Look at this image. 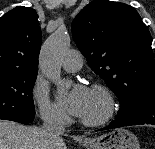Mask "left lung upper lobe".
<instances>
[{"mask_svg":"<svg viewBox=\"0 0 155 149\" xmlns=\"http://www.w3.org/2000/svg\"><path fill=\"white\" fill-rule=\"evenodd\" d=\"M72 34L91 69L119 98L120 108L155 90L152 37L133 7L94 0L73 20Z\"/></svg>","mask_w":155,"mask_h":149,"instance_id":"5c2ea615","label":"left lung upper lobe"}]
</instances>
